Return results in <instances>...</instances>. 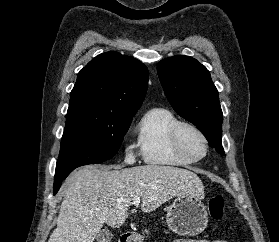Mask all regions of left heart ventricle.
<instances>
[{
	"label": "left heart ventricle",
	"mask_w": 279,
	"mask_h": 242,
	"mask_svg": "<svg viewBox=\"0 0 279 242\" xmlns=\"http://www.w3.org/2000/svg\"><path fill=\"white\" fill-rule=\"evenodd\" d=\"M183 141L185 148L193 156H201L204 152V144L202 140L192 131L185 130L183 133Z\"/></svg>",
	"instance_id": "obj_1"
}]
</instances>
